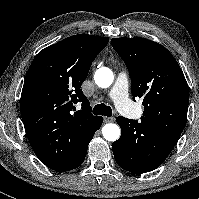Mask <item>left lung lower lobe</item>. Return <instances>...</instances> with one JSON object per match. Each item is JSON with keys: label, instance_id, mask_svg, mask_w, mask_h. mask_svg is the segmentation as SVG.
Listing matches in <instances>:
<instances>
[{"label": "left lung lower lobe", "instance_id": "1", "mask_svg": "<svg viewBox=\"0 0 199 199\" xmlns=\"http://www.w3.org/2000/svg\"><path fill=\"white\" fill-rule=\"evenodd\" d=\"M121 137L112 143L117 164L132 173L156 169L168 157L179 135L143 120L116 118Z\"/></svg>", "mask_w": 199, "mask_h": 199}]
</instances>
